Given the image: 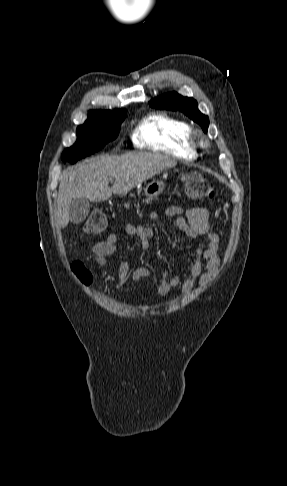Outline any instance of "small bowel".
Returning <instances> with one entry per match:
<instances>
[{
  "instance_id": "obj_1",
  "label": "small bowel",
  "mask_w": 287,
  "mask_h": 486,
  "mask_svg": "<svg viewBox=\"0 0 287 486\" xmlns=\"http://www.w3.org/2000/svg\"><path fill=\"white\" fill-rule=\"evenodd\" d=\"M149 217L157 221L162 217L171 218L175 225L182 231L186 238L196 242L195 259L190 267L189 277L182 278V271L173 276L164 273L159 283L157 294L161 297L166 296L172 289L179 288L181 296L188 295L195 286H205L217 273L220 268V237L214 232H210L209 213L203 207H191L187 210L177 206H170L162 211H152ZM129 235L137 237L143 250H148L150 241L154 237V230L142 224H129L126 227ZM204 236V240L201 238ZM119 235L112 233L106 239L97 242L92 247V258L101 267L107 265V258L116 253L118 249ZM183 262L188 259L186 251L181 253ZM151 272L146 267H140L133 272L127 260L120 263L118 269V282L124 284L130 277L133 281L139 282L144 278L150 277Z\"/></svg>"
}]
</instances>
